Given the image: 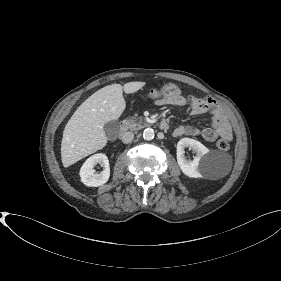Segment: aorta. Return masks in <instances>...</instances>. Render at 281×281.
Masks as SVG:
<instances>
[{"label": "aorta", "instance_id": "obj_1", "mask_svg": "<svg viewBox=\"0 0 281 281\" xmlns=\"http://www.w3.org/2000/svg\"><path fill=\"white\" fill-rule=\"evenodd\" d=\"M154 136H155V133L152 128H147L143 132V138L147 141L152 140L154 138Z\"/></svg>", "mask_w": 281, "mask_h": 281}]
</instances>
